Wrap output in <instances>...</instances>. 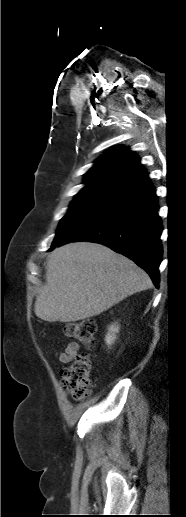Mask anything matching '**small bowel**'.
<instances>
[{
	"label": "small bowel",
	"mask_w": 186,
	"mask_h": 517,
	"mask_svg": "<svg viewBox=\"0 0 186 517\" xmlns=\"http://www.w3.org/2000/svg\"><path fill=\"white\" fill-rule=\"evenodd\" d=\"M79 345L76 342H69L63 352L57 353V359L61 363H69L78 353Z\"/></svg>",
	"instance_id": "c3829d8e"
}]
</instances>
